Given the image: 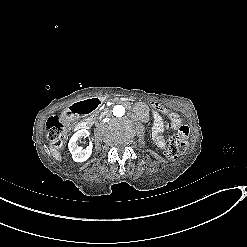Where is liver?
Wrapping results in <instances>:
<instances>
[{
	"label": "liver",
	"mask_w": 247,
	"mask_h": 247,
	"mask_svg": "<svg viewBox=\"0 0 247 247\" xmlns=\"http://www.w3.org/2000/svg\"><path fill=\"white\" fill-rule=\"evenodd\" d=\"M49 149H50V152H51L52 156L57 161H62V156H61L60 152L56 148H54L53 146H50Z\"/></svg>",
	"instance_id": "6515ba94"
}]
</instances>
